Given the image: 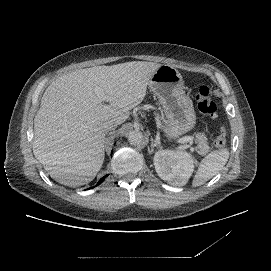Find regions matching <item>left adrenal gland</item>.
Instances as JSON below:
<instances>
[{
  "mask_svg": "<svg viewBox=\"0 0 271 271\" xmlns=\"http://www.w3.org/2000/svg\"><path fill=\"white\" fill-rule=\"evenodd\" d=\"M154 148H156L157 150H162V145H158L153 138L151 137V150L149 151V154L152 155Z\"/></svg>",
  "mask_w": 271,
  "mask_h": 271,
  "instance_id": "1",
  "label": "left adrenal gland"
}]
</instances>
